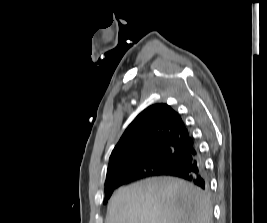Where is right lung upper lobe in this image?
<instances>
[{
    "instance_id": "obj_1",
    "label": "right lung upper lobe",
    "mask_w": 267,
    "mask_h": 223,
    "mask_svg": "<svg viewBox=\"0 0 267 223\" xmlns=\"http://www.w3.org/2000/svg\"><path fill=\"white\" fill-rule=\"evenodd\" d=\"M193 144V137L176 111L167 104L149 106L127 127L112 151L107 179L127 172L129 163L153 155L160 147L176 145L187 150Z\"/></svg>"
}]
</instances>
